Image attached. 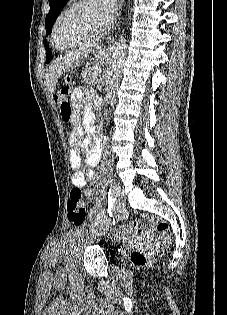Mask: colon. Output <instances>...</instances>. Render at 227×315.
Here are the masks:
<instances>
[{"label":"colon","mask_w":227,"mask_h":315,"mask_svg":"<svg viewBox=\"0 0 227 315\" xmlns=\"http://www.w3.org/2000/svg\"><path fill=\"white\" fill-rule=\"evenodd\" d=\"M55 98L59 104V108L64 121H70L72 117V103L69 98V86L66 81L55 93ZM68 218L75 225L83 224L87 219L86 209L82 202V191L79 188L71 190L67 202ZM150 230L157 236L158 240L167 245L170 242L169 226L166 221L158 218L149 219ZM147 233L144 224L141 221H134L127 224L120 235L133 236L141 238ZM112 235H119L113 232ZM153 253L146 250H135L132 253V262L136 266L147 265L152 259Z\"/></svg>","instance_id":"1"}]
</instances>
